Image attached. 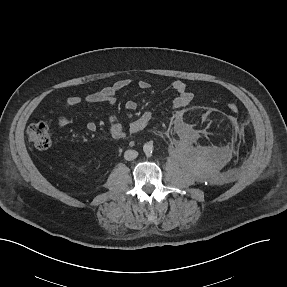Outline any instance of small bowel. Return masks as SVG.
<instances>
[{
	"instance_id": "c3829d8e",
	"label": "small bowel",
	"mask_w": 287,
	"mask_h": 287,
	"mask_svg": "<svg viewBox=\"0 0 287 287\" xmlns=\"http://www.w3.org/2000/svg\"><path fill=\"white\" fill-rule=\"evenodd\" d=\"M133 80L130 78L120 79L114 82L112 85L106 86L99 91L90 93L86 96H71L62 102L63 107L71 108L83 103H97V102H107L113 106L116 102V95L121 90L130 86ZM137 85L141 89H149L150 84L145 80H140ZM172 90L175 92V97L172 101V107L175 109L183 108L187 106L193 99V94L187 89L186 84L181 80H175L171 84ZM127 110L133 111L137 108V103L133 100H128L125 103ZM56 123L59 127H65L68 124L67 117L61 113L57 112L55 115ZM153 115L151 112H144L138 118L133 120L128 126L122 125L117 116L112 113L108 120V132L112 139L121 140L130 134H137L145 130L151 123ZM96 124L94 122H88L86 128L89 131L96 130Z\"/></svg>"
}]
</instances>
